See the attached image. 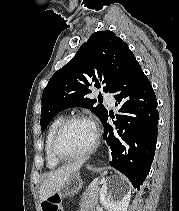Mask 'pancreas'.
<instances>
[{"label":"pancreas","mask_w":179,"mask_h":211,"mask_svg":"<svg viewBox=\"0 0 179 211\" xmlns=\"http://www.w3.org/2000/svg\"><path fill=\"white\" fill-rule=\"evenodd\" d=\"M99 181L93 182L83 193L79 211H90L98 202Z\"/></svg>","instance_id":"1"}]
</instances>
